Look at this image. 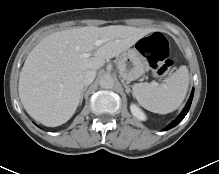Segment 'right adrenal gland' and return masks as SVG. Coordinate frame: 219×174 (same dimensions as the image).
Returning a JSON list of instances; mask_svg holds the SVG:
<instances>
[{"instance_id":"obj_1","label":"right adrenal gland","mask_w":219,"mask_h":174,"mask_svg":"<svg viewBox=\"0 0 219 174\" xmlns=\"http://www.w3.org/2000/svg\"><path fill=\"white\" fill-rule=\"evenodd\" d=\"M87 90V86L84 87L83 91H82V94H81V97H80V104L82 103L83 101V95H84V92Z\"/></svg>"}]
</instances>
